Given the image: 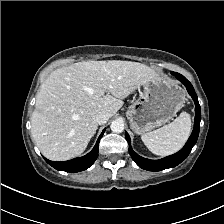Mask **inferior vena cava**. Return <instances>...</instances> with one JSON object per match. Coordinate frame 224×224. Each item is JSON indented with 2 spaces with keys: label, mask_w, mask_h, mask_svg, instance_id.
I'll return each mask as SVG.
<instances>
[{
  "label": "inferior vena cava",
  "mask_w": 224,
  "mask_h": 224,
  "mask_svg": "<svg viewBox=\"0 0 224 224\" xmlns=\"http://www.w3.org/2000/svg\"><path fill=\"white\" fill-rule=\"evenodd\" d=\"M109 118H110V115H109L108 112H106V111H100L96 115V122L99 125H103V124L107 123V121L109 120Z\"/></svg>",
  "instance_id": "602c4592"
}]
</instances>
